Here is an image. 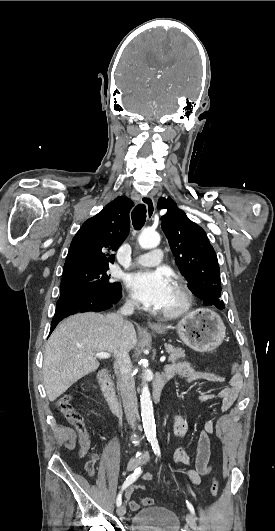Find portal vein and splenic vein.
Segmentation results:
<instances>
[{"instance_id":"portal-vein-and-splenic-vein-1","label":"portal vein and splenic vein","mask_w":275,"mask_h":531,"mask_svg":"<svg viewBox=\"0 0 275 531\" xmlns=\"http://www.w3.org/2000/svg\"><path fill=\"white\" fill-rule=\"evenodd\" d=\"M95 357H98V359H109L111 357L110 353H94ZM166 357H161L160 361L161 363H164Z\"/></svg>"}]
</instances>
